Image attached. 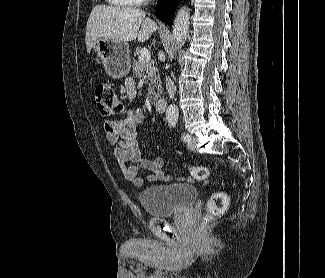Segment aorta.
Wrapping results in <instances>:
<instances>
[{
  "mask_svg": "<svg viewBox=\"0 0 325 278\" xmlns=\"http://www.w3.org/2000/svg\"><path fill=\"white\" fill-rule=\"evenodd\" d=\"M189 9L186 7L181 8L173 22V37L178 46H183L189 31ZM178 109L175 105L168 106L166 110V119L169 123H176L178 120Z\"/></svg>",
  "mask_w": 325,
  "mask_h": 278,
  "instance_id": "obj_1",
  "label": "aorta"
}]
</instances>
